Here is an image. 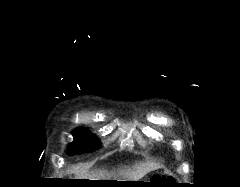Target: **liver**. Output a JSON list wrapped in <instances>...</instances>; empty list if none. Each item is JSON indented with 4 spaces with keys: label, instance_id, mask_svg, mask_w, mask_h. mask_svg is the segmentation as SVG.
I'll return each mask as SVG.
<instances>
[{
    "label": "liver",
    "instance_id": "6515ba94",
    "mask_svg": "<svg viewBox=\"0 0 240 187\" xmlns=\"http://www.w3.org/2000/svg\"><path fill=\"white\" fill-rule=\"evenodd\" d=\"M159 166L155 163L151 162H140L136 164L133 169H128L122 172V175L127 179H132L131 181H136L143 178L147 173L157 169ZM75 175L78 177L77 179H88L89 178H100V176L104 177V172H100L99 174H90L88 171H79L75 170ZM91 180V179H90ZM94 180V179H92Z\"/></svg>",
    "mask_w": 240,
    "mask_h": 187
}]
</instances>
